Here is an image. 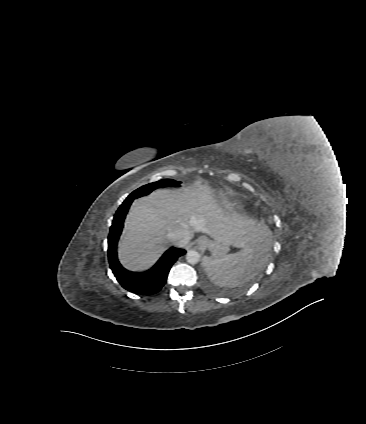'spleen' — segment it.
Instances as JSON below:
<instances>
[{
	"mask_svg": "<svg viewBox=\"0 0 366 424\" xmlns=\"http://www.w3.org/2000/svg\"><path fill=\"white\" fill-rule=\"evenodd\" d=\"M264 251L258 246H251L222 257H207L204 262L205 270L215 284L221 287H237L254 277Z\"/></svg>",
	"mask_w": 366,
	"mask_h": 424,
	"instance_id": "spleen-1",
	"label": "spleen"
}]
</instances>
